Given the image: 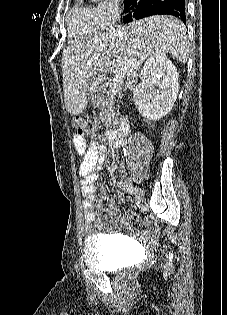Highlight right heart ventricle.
Segmentation results:
<instances>
[{"instance_id":"1","label":"right heart ventricle","mask_w":227,"mask_h":315,"mask_svg":"<svg viewBox=\"0 0 227 315\" xmlns=\"http://www.w3.org/2000/svg\"><path fill=\"white\" fill-rule=\"evenodd\" d=\"M66 19L73 42L89 39L99 31L92 8L85 6L82 0L75 1L67 13Z\"/></svg>"}]
</instances>
